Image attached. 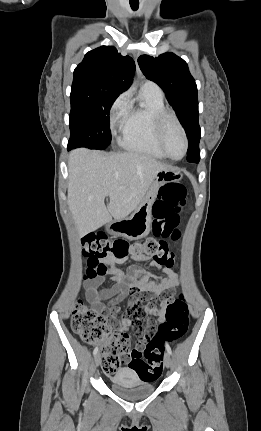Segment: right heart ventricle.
<instances>
[{
    "label": "right heart ventricle",
    "mask_w": 261,
    "mask_h": 431,
    "mask_svg": "<svg viewBox=\"0 0 261 431\" xmlns=\"http://www.w3.org/2000/svg\"><path fill=\"white\" fill-rule=\"evenodd\" d=\"M141 98L143 104L129 109L119 144L128 151L165 158L156 141L154 124L155 115L166 110L163 96L142 88Z\"/></svg>",
    "instance_id": "obj_1"
}]
</instances>
